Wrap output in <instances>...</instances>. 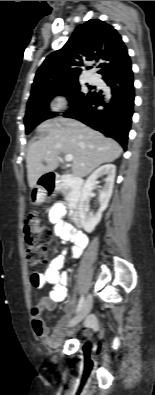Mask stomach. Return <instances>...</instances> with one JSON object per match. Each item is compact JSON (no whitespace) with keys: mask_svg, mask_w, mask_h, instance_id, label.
<instances>
[{"mask_svg":"<svg viewBox=\"0 0 155 395\" xmlns=\"http://www.w3.org/2000/svg\"><path fill=\"white\" fill-rule=\"evenodd\" d=\"M45 198V192L42 188L40 187H35L32 189V192L30 194V201L33 204H38L42 202Z\"/></svg>","mask_w":155,"mask_h":395,"instance_id":"stomach-1","label":"stomach"}]
</instances>
